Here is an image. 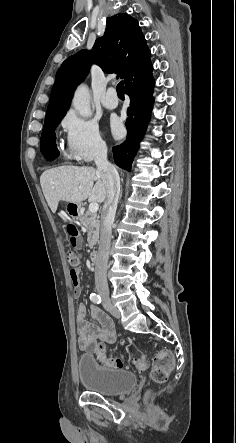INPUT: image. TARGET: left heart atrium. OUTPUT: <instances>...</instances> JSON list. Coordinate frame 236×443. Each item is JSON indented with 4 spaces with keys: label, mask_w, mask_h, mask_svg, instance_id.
Listing matches in <instances>:
<instances>
[{
    "label": "left heart atrium",
    "mask_w": 236,
    "mask_h": 443,
    "mask_svg": "<svg viewBox=\"0 0 236 443\" xmlns=\"http://www.w3.org/2000/svg\"><path fill=\"white\" fill-rule=\"evenodd\" d=\"M110 128L112 134L116 137L120 136L123 131V126L121 121L115 117L110 119Z\"/></svg>",
    "instance_id": "left-heart-atrium-1"
}]
</instances>
